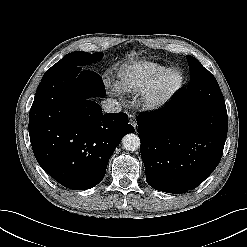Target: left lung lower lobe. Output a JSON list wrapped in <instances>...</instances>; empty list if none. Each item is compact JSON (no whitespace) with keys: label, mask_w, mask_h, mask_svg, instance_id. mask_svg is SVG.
<instances>
[{"label":"left lung lower lobe","mask_w":247,"mask_h":247,"mask_svg":"<svg viewBox=\"0 0 247 247\" xmlns=\"http://www.w3.org/2000/svg\"><path fill=\"white\" fill-rule=\"evenodd\" d=\"M137 124L146 181L156 190H193L220 162L228 117L210 72L192 80L162 109L140 113Z\"/></svg>","instance_id":"1"}]
</instances>
